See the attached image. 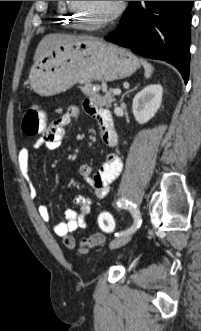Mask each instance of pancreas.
<instances>
[{"mask_svg":"<svg viewBox=\"0 0 201 331\" xmlns=\"http://www.w3.org/2000/svg\"><path fill=\"white\" fill-rule=\"evenodd\" d=\"M93 85L90 82L84 83L83 86H80L81 91L88 96L93 102L101 107H111L112 103L115 102V97L113 95V89L106 92L104 95L99 94V87L96 90H93Z\"/></svg>","mask_w":201,"mask_h":331,"instance_id":"1","label":"pancreas"}]
</instances>
